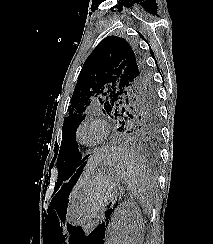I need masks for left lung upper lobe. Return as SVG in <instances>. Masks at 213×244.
Instances as JSON below:
<instances>
[{"label":"left lung upper lobe","instance_id":"left-lung-upper-lobe-1","mask_svg":"<svg viewBox=\"0 0 213 244\" xmlns=\"http://www.w3.org/2000/svg\"><path fill=\"white\" fill-rule=\"evenodd\" d=\"M99 101L103 113L144 138L158 136L159 107L152 75L142 56L123 38L107 36L86 59L62 128L58 183L71 176L80 154L75 140L86 108Z\"/></svg>","mask_w":213,"mask_h":244}]
</instances>
